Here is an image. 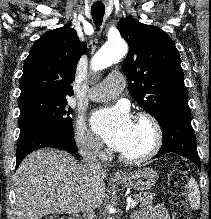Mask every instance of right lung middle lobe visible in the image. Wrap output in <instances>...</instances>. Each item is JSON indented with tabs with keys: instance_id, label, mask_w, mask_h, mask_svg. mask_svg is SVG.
<instances>
[{
	"instance_id": "right-lung-middle-lobe-1",
	"label": "right lung middle lobe",
	"mask_w": 211,
	"mask_h": 219,
	"mask_svg": "<svg viewBox=\"0 0 211 219\" xmlns=\"http://www.w3.org/2000/svg\"><path fill=\"white\" fill-rule=\"evenodd\" d=\"M68 98L34 97L19 101L20 135L39 128H53L73 134L72 112Z\"/></svg>"
}]
</instances>
